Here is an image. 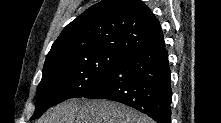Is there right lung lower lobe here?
<instances>
[{"label":"right lung lower lobe","mask_w":221,"mask_h":123,"mask_svg":"<svg viewBox=\"0 0 221 123\" xmlns=\"http://www.w3.org/2000/svg\"><path fill=\"white\" fill-rule=\"evenodd\" d=\"M85 98L117 101L147 114L157 123H169L172 91L164 44L129 53Z\"/></svg>","instance_id":"1"}]
</instances>
